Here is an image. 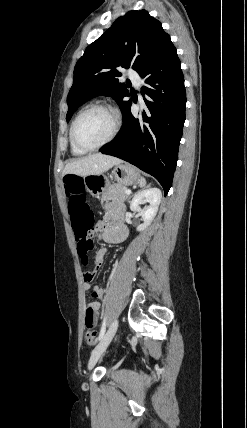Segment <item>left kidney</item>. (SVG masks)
Returning <instances> with one entry per match:
<instances>
[{
	"mask_svg": "<svg viewBox=\"0 0 247 428\" xmlns=\"http://www.w3.org/2000/svg\"><path fill=\"white\" fill-rule=\"evenodd\" d=\"M161 198L162 193L158 188H148L134 195L130 203V209L140 213L143 219V224L137 227V231H143L151 224L157 214ZM144 203H149V205L141 208L140 205Z\"/></svg>",
	"mask_w": 247,
	"mask_h": 428,
	"instance_id": "5707ae66",
	"label": "left kidney"
}]
</instances>
